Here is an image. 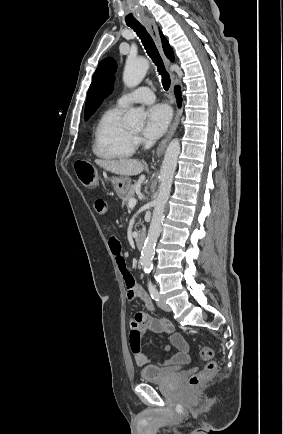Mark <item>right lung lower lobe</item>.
<instances>
[{
  "mask_svg": "<svg viewBox=\"0 0 283 434\" xmlns=\"http://www.w3.org/2000/svg\"><path fill=\"white\" fill-rule=\"evenodd\" d=\"M180 94H181L180 87L176 86L175 87V95H176L177 102H178L179 106H181V101H182Z\"/></svg>",
  "mask_w": 283,
  "mask_h": 434,
  "instance_id": "right-lung-lower-lobe-1",
  "label": "right lung lower lobe"
}]
</instances>
